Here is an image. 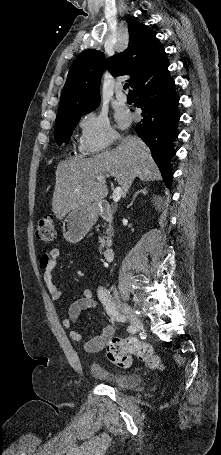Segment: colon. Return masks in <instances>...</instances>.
<instances>
[{"label":"colon","mask_w":221,"mask_h":455,"mask_svg":"<svg viewBox=\"0 0 221 455\" xmlns=\"http://www.w3.org/2000/svg\"><path fill=\"white\" fill-rule=\"evenodd\" d=\"M36 236L43 242H50L55 238V220L52 216L46 215L39 220ZM106 355L110 362L119 367H129L131 356L135 355L140 360L145 361L151 369L163 368V362L154 352L153 347L149 343L139 341L134 337H112L106 344Z\"/></svg>","instance_id":"5ec220e1"}]
</instances>
